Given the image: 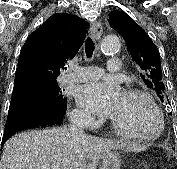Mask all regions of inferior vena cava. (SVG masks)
Here are the masks:
<instances>
[{
  "label": "inferior vena cava",
  "mask_w": 177,
  "mask_h": 169,
  "mask_svg": "<svg viewBox=\"0 0 177 169\" xmlns=\"http://www.w3.org/2000/svg\"><path fill=\"white\" fill-rule=\"evenodd\" d=\"M90 120H91V117H89V116L79 118L78 120L75 121V123H73L69 127V129L73 133L82 134L83 128L89 123Z\"/></svg>",
  "instance_id": "obj_1"
}]
</instances>
